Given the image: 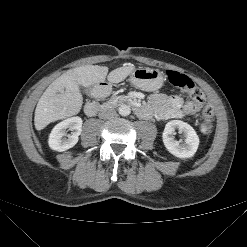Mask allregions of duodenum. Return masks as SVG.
<instances>
[{
	"label": "duodenum",
	"instance_id": "1",
	"mask_svg": "<svg viewBox=\"0 0 247 247\" xmlns=\"http://www.w3.org/2000/svg\"><path fill=\"white\" fill-rule=\"evenodd\" d=\"M109 87V84L105 83L102 86L96 88V92H99L101 89H107ZM126 103L133 109V111L140 117H146L148 114V110L137 104L136 102H132L127 100ZM109 107L104 104H100L98 100L91 98L85 105V112L92 116L97 114L99 111L107 110Z\"/></svg>",
	"mask_w": 247,
	"mask_h": 247
}]
</instances>
